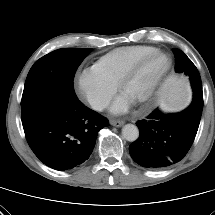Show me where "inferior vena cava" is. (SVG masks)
<instances>
[{
    "instance_id": "inferior-vena-cava-1",
    "label": "inferior vena cava",
    "mask_w": 215,
    "mask_h": 215,
    "mask_svg": "<svg viewBox=\"0 0 215 215\" xmlns=\"http://www.w3.org/2000/svg\"><path fill=\"white\" fill-rule=\"evenodd\" d=\"M108 105H109V100H100L96 102L95 109L101 111L105 109Z\"/></svg>"
}]
</instances>
